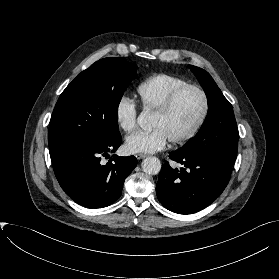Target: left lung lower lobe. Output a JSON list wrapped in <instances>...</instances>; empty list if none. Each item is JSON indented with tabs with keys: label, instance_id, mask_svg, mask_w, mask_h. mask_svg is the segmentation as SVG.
<instances>
[{
	"label": "left lung lower lobe",
	"instance_id": "obj_1",
	"mask_svg": "<svg viewBox=\"0 0 279 279\" xmlns=\"http://www.w3.org/2000/svg\"><path fill=\"white\" fill-rule=\"evenodd\" d=\"M184 167L173 169L166 161L156 185L157 197L178 214L197 212L215 201L227 186L232 165L209 156L190 158L176 151L169 154Z\"/></svg>",
	"mask_w": 279,
	"mask_h": 279
}]
</instances>
